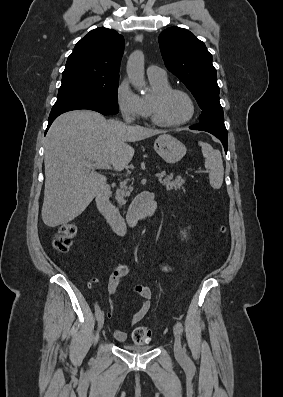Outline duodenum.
Wrapping results in <instances>:
<instances>
[{
  "mask_svg": "<svg viewBox=\"0 0 283 397\" xmlns=\"http://www.w3.org/2000/svg\"><path fill=\"white\" fill-rule=\"evenodd\" d=\"M109 196V185L102 186L97 192L96 203L107 223L119 235H124L128 228L151 218L157 209L152 193L144 191L133 199L127 217L124 218L110 202Z\"/></svg>",
  "mask_w": 283,
  "mask_h": 397,
  "instance_id": "obj_1",
  "label": "duodenum"
}]
</instances>
